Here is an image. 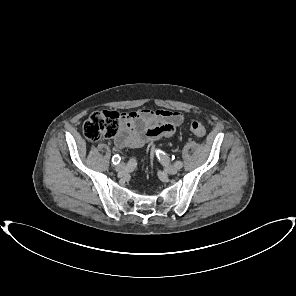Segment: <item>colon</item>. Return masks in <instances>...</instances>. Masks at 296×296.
Segmentation results:
<instances>
[{"label":"colon","mask_w":296,"mask_h":296,"mask_svg":"<svg viewBox=\"0 0 296 296\" xmlns=\"http://www.w3.org/2000/svg\"><path fill=\"white\" fill-rule=\"evenodd\" d=\"M121 115L116 111L103 110L92 113L83 124V134L90 141L115 136L120 127ZM190 131L197 137H203L205 127L198 121H192Z\"/></svg>","instance_id":"obj_1"}]
</instances>
